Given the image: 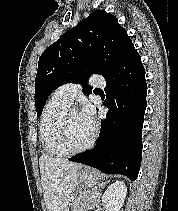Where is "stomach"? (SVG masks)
<instances>
[{
	"label": "stomach",
	"instance_id": "obj_1",
	"mask_svg": "<svg viewBox=\"0 0 178 211\" xmlns=\"http://www.w3.org/2000/svg\"><path fill=\"white\" fill-rule=\"evenodd\" d=\"M99 179L100 176L96 170L89 167L82 168L78 174V190L75 196H77L80 193L81 189L92 188L96 186L99 182Z\"/></svg>",
	"mask_w": 178,
	"mask_h": 211
}]
</instances>
